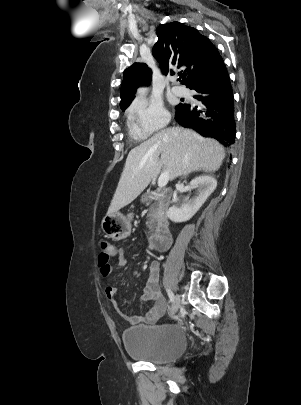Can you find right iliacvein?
Instances as JSON below:
<instances>
[{
	"label": "right iliac vein",
	"mask_w": 301,
	"mask_h": 405,
	"mask_svg": "<svg viewBox=\"0 0 301 405\" xmlns=\"http://www.w3.org/2000/svg\"><path fill=\"white\" fill-rule=\"evenodd\" d=\"M180 307V297L179 295L175 296L174 302L172 304L171 310H170V316H174L176 314V312L178 311Z\"/></svg>",
	"instance_id": "obj_1"
}]
</instances>
